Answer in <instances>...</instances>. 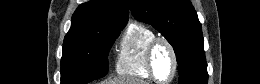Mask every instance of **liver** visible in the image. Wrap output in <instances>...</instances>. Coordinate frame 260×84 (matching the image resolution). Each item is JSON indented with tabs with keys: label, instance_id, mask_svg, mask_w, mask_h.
I'll return each mask as SVG.
<instances>
[{
	"label": "liver",
	"instance_id": "obj_1",
	"mask_svg": "<svg viewBox=\"0 0 260 84\" xmlns=\"http://www.w3.org/2000/svg\"><path fill=\"white\" fill-rule=\"evenodd\" d=\"M103 84H146L144 81H135L130 79H118L104 82Z\"/></svg>",
	"mask_w": 260,
	"mask_h": 84
}]
</instances>
